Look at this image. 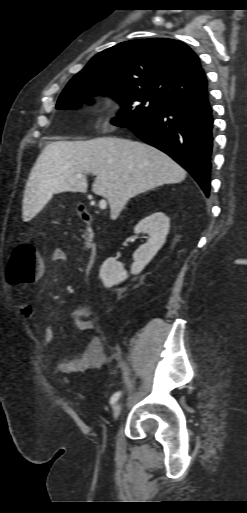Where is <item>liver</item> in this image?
<instances>
[{
    "instance_id": "obj_1",
    "label": "liver",
    "mask_w": 247,
    "mask_h": 513,
    "mask_svg": "<svg viewBox=\"0 0 247 513\" xmlns=\"http://www.w3.org/2000/svg\"><path fill=\"white\" fill-rule=\"evenodd\" d=\"M89 173L96 175L92 191L108 200L112 219L136 195L186 177V171L167 154L143 142L116 137L52 142L31 170L23 217H34L53 194L85 193Z\"/></svg>"
}]
</instances>
